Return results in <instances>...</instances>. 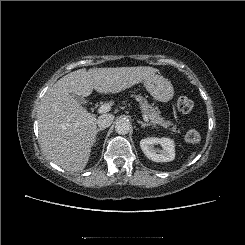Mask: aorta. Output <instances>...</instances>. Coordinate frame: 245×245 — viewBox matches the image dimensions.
I'll use <instances>...</instances> for the list:
<instances>
[{
  "instance_id": "1",
  "label": "aorta",
  "mask_w": 245,
  "mask_h": 245,
  "mask_svg": "<svg viewBox=\"0 0 245 245\" xmlns=\"http://www.w3.org/2000/svg\"><path fill=\"white\" fill-rule=\"evenodd\" d=\"M131 130V123L129 120L120 119L115 124V131L120 135H125Z\"/></svg>"
}]
</instances>
